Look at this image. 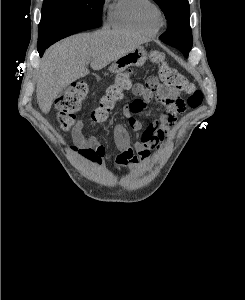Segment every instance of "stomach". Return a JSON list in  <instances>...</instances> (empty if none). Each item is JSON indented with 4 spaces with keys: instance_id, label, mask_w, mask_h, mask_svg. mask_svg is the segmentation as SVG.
Instances as JSON below:
<instances>
[{
    "instance_id": "1",
    "label": "stomach",
    "mask_w": 245,
    "mask_h": 300,
    "mask_svg": "<svg viewBox=\"0 0 245 300\" xmlns=\"http://www.w3.org/2000/svg\"><path fill=\"white\" fill-rule=\"evenodd\" d=\"M147 59V53L142 47H137L113 61L109 67L112 73H122L129 67H140Z\"/></svg>"
}]
</instances>
